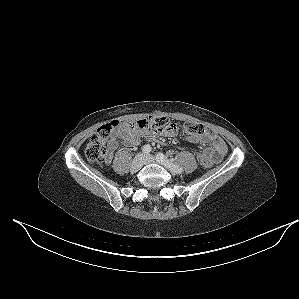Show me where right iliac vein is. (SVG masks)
<instances>
[{"label":"right iliac vein","instance_id":"1","mask_svg":"<svg viewBox=\"0 0 299 299\" xmlns=\"http://www.w3.org/2000/svg\"><path fill=\"white\" fill-rule=\"evenodd\" d=\"M144 164V155L138 154L135 156L132 164H131V172L136 173L138 172Z\"/></svg>","mask_w":299,"mask_h":299}]
</instances>
